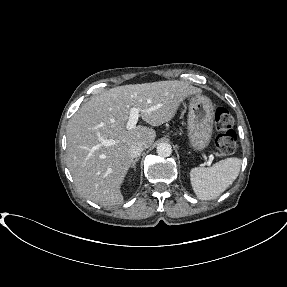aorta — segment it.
<instances>
[{
  "mask_svg": "<svg viewBox=\"0 0 287 287\" xmlns=\"http://www.w3.org/2000/svg\"><path fill=\"white\" fill-rule=\"evenodd\" d=\"M172 153V147L169 143H160L157 146V154L163 158L169 157Z\"/></svg>",
  "mask_w": 287,
  "mask_h": 287,
  "instance_id": "1",
  "label": "aorta"
}]
</instances>
